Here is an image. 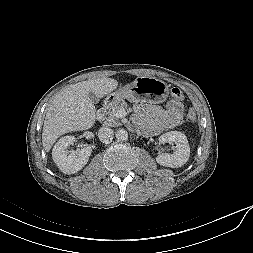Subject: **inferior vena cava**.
<instances>
[{
	"instance_id": "inferior-vena-cava-1",
	"label": "inferior vena cava",
	"mask_w": 253,
	"mask_h": 253,
	"mask_svg": "<svg viewBox=\"0 0 253 253\" xmlns=\"http://www.w3.org/2000/svg\"><path fill=\"white\" fill-rule=\"evenodd\" d=\"M113 136H114V132L111 128L107 126H103L99 129L98 137L101 142L107 144L112 141Z\"/></svg>"
}]
</instances>
